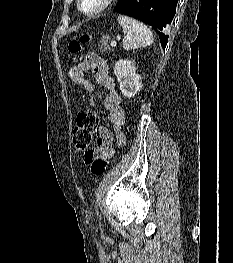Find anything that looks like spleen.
I'll return each instance as SVG.
<instances>
[{
  "mask_svg": "<svg viewBox=\"0 0 233 263\" xmlns=\"http://www.w3.org/2000/svg\"><path fill=\"white\" fill-rule=\"evenodd\" d=\"M118 23L124 32L123 48L125 50H133L153 43V35L143 23L125 15L118 16Z\"/></svg>",
  "mask_w": 233,
  "mask_h": 263,
  "instance_id": "3e777b00",
  "label": "spleen"
}]
</instances>
